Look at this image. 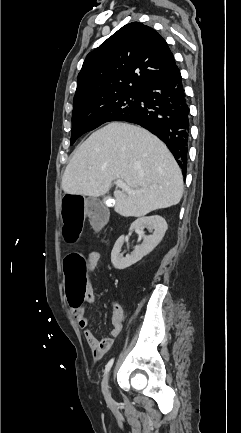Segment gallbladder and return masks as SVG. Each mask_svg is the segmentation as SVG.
Wrapping results in <instances>:
<instances>
[{"mask_svg":"<svg viewBox=\"0 0 241 433\" xmlns=\"http://www.w3.org/2000/svg\"><path fill=\"white\" fill-rule=\"evenodd\" d=\"M86 205L87 213L91 217L104 218L109 215V210L98 199L88 198Z\"/></svg>","mask_w":241,"mask_h":433,"instance_id":"gallbladder-1","label":"gallbladder"}]
</instances>
